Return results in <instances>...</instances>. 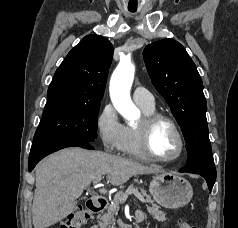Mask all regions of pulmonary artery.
<instances>
[{
  "label": "pulmonary artery",
  "instance_id": "obj_1",
  "mask_svg": "<svg viewBox=\"0 0 238 228\" xmlns=\"http://www.w3.org/2000/svg\"><path fill=\"white\" fill-rule=\"evenodd\" d=\"M133 100L139 106L152 108L154 107V97L145 87L138 86L133 90Z\"/></svg>",
  "mask_w": 238,
  "mask_h": 228
}]
</instances>
